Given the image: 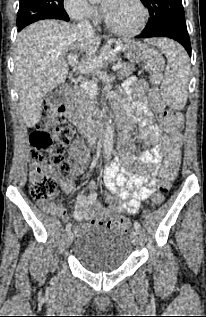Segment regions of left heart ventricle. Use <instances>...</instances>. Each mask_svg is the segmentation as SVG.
Returning <instances> with one entry per match:
<instances>
[{"label": "left heart ventricle", "mask_w": 206, "mask_h": 317, "mask_svg": "<svg viewBox=\"0 0 206 317\" xmlns=\"http://www.w3.org/2000/svg\"><path fill=\"white\" fill-rule=\"evenodd\" d=\"M108 20L121 29H133L141 20V11L132 0H104Z\"/></svg>", "instance_id": "left-heart-ventricle-1"}]
</instances>
